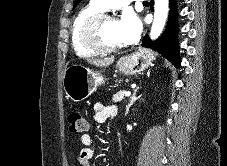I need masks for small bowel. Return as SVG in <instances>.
Listing matches in <instances>:
<instances>
[{
    "mask_svg": "<svg viewBox=\"0 0 227 166\" xmlns=\"http://www.w3.org/2000/svg\"><path fill=\"white\" fill-rule=\"evenodd\" d=\"M95 120L99 123L106 121L109 118H113L117 115V107L115 105L106 106L102 103H96L94 105ZM81 143L84 148L81 150L78 162L80 166H92L91 159L94 155V150L91 147L93 144V137L89 133H84L81 136Z\"/></svg>",
    "mask_w": 227,
    "mask_h": 166,
    "instance_id": "1",
    "label": "small bowel"
}]
</instances>
